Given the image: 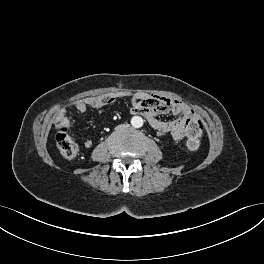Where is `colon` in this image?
<instances>
[{
	"mask_svg": "<svg viewBox=\"0 0 264 264\" xmlns=\"http://www.w3.org/2000/svg\"><path fill=\"white\" fill-rule=\"evenodd\" d=\"M203 134L202 122L198 119H190L186 125V146L190 151H196ZM56 144L67 159H73L78 154V146L74 138L69 134L67 126H60L56 134Z\"/></svg>",
	"mask_w": 264,
	"mask_h": 264,
	"instance_id": "5ec220e1",
	"label": "colon"
}]
</instances>
